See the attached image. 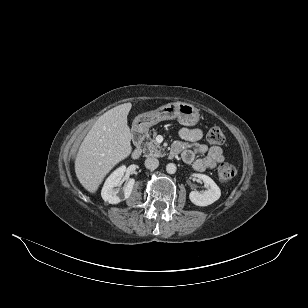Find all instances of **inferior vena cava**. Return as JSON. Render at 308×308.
<instances>
[{"label":"inferior vena cava","instance_id":"602c4592","mask_svg":"<svg viewBox=\"0 0 308 308\" xmlns=\"http://www.w3.org/2000/svg\"><path fill=\"white\" fill-rule=\"evenodd\" d=\"M159 166V160L155 157H148L146 160H145V167L147 169H151V170H154L156 169L157 167Z\"/></svg>","mask_w":308,"mask_h":308}]
</instances>
